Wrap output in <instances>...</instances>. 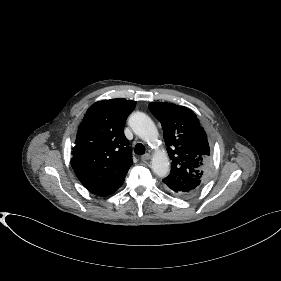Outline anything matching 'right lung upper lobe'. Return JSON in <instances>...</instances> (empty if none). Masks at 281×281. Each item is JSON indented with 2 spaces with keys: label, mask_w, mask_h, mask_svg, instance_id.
Here are the masks:
<instances>
[{
  "label": "right lung upper lobe",
  "mask_w": 281,
  "mask_h": 281,
  "mask_svg": "<svg viewBox=\"0 0 281 281\" xmlns=\"http://www.w3.org/2000/svg\"><path fill=\"white\" fill-rule=\"evenodd\" d=\"M135 106V101L126 99L98 101L78 127L71 165L81 183L95 195L114 193L133 164L123 127Z\"/></svg>",
  "instance_id": "obj_1"
}]
</instances>
